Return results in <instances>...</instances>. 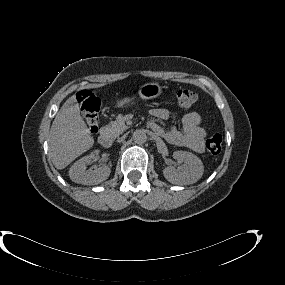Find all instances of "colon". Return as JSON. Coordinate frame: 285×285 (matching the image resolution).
<instances>
[{"label": "colon", "mask_w": 285, "mask_h": 285, "mask_svg": "<svg viewBox=\"0 0 285 285\" xmlns=\"http://www.w3.org/2000/svg\"><path fill=\"white\" fill-rule=\"evenodd\" d=\"M172 93L182 107L192 106L198 100L197 93L188 88H176ZM78 102L90 132L96 133L99 129V99L92 92L85 90L78 94ZM206 147L211 154H218L222 148V136L215 134L208 138Z\"/></svg>", "instance_id": "colon-1"}]
</instances>
